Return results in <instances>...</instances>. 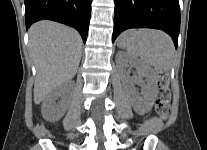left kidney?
Returning a JSON list of instances; mask_svg holds the SVG:
<instances>
[{"label":"left kidney","mask_w":207,"mask_h":150,"mask_svg":"<svg viewBox=\"0 0 207 150\" xmlns=\"http://www.w3.org/2000/svg\"><path fill=\"white\" fill-rule=\"evenodd\" d=\"M116 57L118 63L120 64L122 71L121 77L134 111L139 115L148 113L151 110L156 97L157 78L154 70L149 65L141 62L137 58L129 56L122 51L118 52ZM128 65L137 69L140 78H146V84L144 85L142 96H139L134 91L133 83L135 80H132L128 73L125 72V67Z\"/></svg>","instance_id":"left-kidney-1"}]
</instances>
